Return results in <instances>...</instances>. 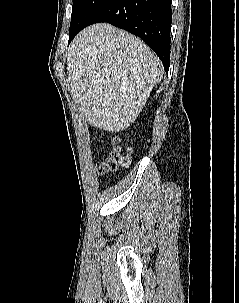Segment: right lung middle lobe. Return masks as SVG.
<instances>
[{"instance_id": "obj_1", "label": "right lung middle lobe", "mask_w": 239, "mask_h": 303, "mask_svg": "<svg viewBox=\"0 0 239 303\" xmlns=\"http://www.w3.org/2000/svg\"><path fill=\"white\" fill-rule=\"evenodd\" d=\"M105 0H73L69 39L85 27L91 14Z\"/></svg>"}]
</instances>
